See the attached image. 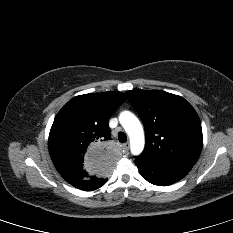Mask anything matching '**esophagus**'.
I'll list each match as a JSON object with an SVG mask.
<instances>
[{
	"instance_id": "obj_1",
	"label": "esophagus",
	"mask_w": 233,
	"mask_h": 233,
	"mask_svg": "<svg viewBox=\"0 0 233 233\" xmlns=\"http://www.w3.org/2000/svg\"><path fill=\"white\" fill-rule=\"evenodd\" d=\"M129 147H130V144L128 142L122 144L123 152H127L129 150Z\"/></svg>"
}]
</instances>
